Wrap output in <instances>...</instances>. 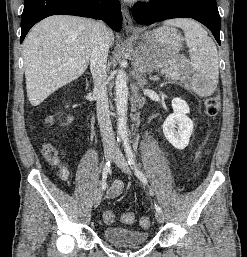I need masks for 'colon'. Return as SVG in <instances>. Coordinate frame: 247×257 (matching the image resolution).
Instances as JSON below:
<instances>
[{
	"instance_id": "5ec220e1",
	"label": "colon",
	"mask_w": 247,
	"mask_h": 257,
	"mask_svg": "<svg viewBox=\"0 0 247 257\" xmlns=\"http://www.w3.org/2000/svg\"><path fill=\"white\" fill-rule=\"evenodd\" d=\"M205 111L211 118L218 116L220 111V97L218 94H213L205 100ZM42 152L47 159L54 158L58 154L56 147L52 144H45ZM102 217L106 223H112L114 221V213L109 209L103 211ZM121 221L124 224H132L134 222V215L132 213H124L121 216ZM139 224L142 228H148L150 226V219L147 216H142Z\"/></svg>"
}]
</instances>
